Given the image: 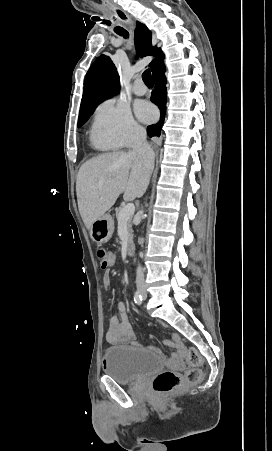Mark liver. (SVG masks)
I'll use <instances>...</instances> for the list:
<instances>
[{
    "label": "liver",
    "mask_w": 272,
    "mask_h": 451,
    "mask_svg": "<svg viewBox=\"0 0 272 451\" xmlns=\"http://www.w3.org/2000/svg\"><path fill=\"white\" fill-rule=\"evenodd\" d=\"M152 170L131 152H112L87 160L76 182L78 208L87 229L114 206L123 192L124 200L141 198Z\"/></svg>",
    "instance_id": "1"
}]
</instances>
